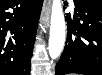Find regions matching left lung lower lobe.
Masks as SVG:
<instances>
[{"instance_id":"1","label":"left lung lower lobe","mask_w":102,"mask_h":75,"mask_svg":"<svg viewBox=\"0 0 102 75\" xmlns=\"http://www.w3.org/2000/svg\"><path fill=\"white\" fill-rule=\"evenodd\" d=\"M74 4V21L67 16L66 44L55 75H102V3L74 0Z\"/></svg>"}]
</instances>
